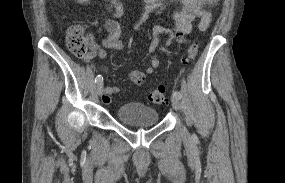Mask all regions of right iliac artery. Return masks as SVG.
Here are the masks:
<instances>
[{
  "label": "right iliac artery",
  "instance_id": "right-iliac-artery-1",
  "mask_svg": "<svg viewBox=\"0 0 285 183\" xmlns=\"http://www.w3.org/2000/svg\"><path fill=\"white\" fill-rule=\"evenodd\" d=\"M103 81V77L101 75H97V77L95 78V83H99Z\"/></svg>",
  "mask_w": 285,
  "mask_h": 183
}]
</instances>
